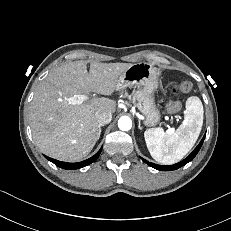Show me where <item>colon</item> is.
<instances>
[{
	"mask_svg": "<svg viewBox=\"0 0 231 231\" xmlns=\"http://www.w3.org/2000/svg\"><path fill=\"white\" fill-rule=\"evenodd\" d=\"M192 88V85L190 82L188 81H183L181 82L179 85L177 86H174L172 88V92L173 93H177V92H188L190 91ZM181 109V103L179 101H176V100H171L169 103H168V110L170 112H177Z\"/></svg>",
	"mask_w": 231,
	"mask_h": 231,
	"instance_id": "1",
	"label": "colon"
}]
</instances>
